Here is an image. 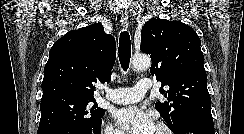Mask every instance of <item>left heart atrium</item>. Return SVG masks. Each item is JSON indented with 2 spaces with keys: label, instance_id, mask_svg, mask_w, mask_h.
Segmentation results:
<instances>
[{
  "label": "left heart atrium",
  "instance_id": "39dd6f15",
  "mask_svg": "<svg viewBox=\"0 0 244 134\" xmlns=\"http://www.w3.org/2000/svg\"><path fill=\"white\" fill-rule=\"evenodd\" d=\"M114 118L125 134H153L155 129L151 116L137 107L119 109Z\"/></svg>",
  "mask_w": 244,
  "mask_h": 134
}]
</instances>
